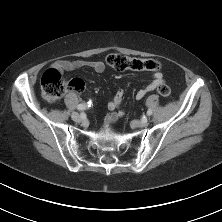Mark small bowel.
Here are the masks:
<instances>
[{
  "label": "small bowel",
  "mask_w": 222,
  "mask_h": 222,
  "mask_svg": "<svg viewBox=\"0 0 222 222\" xmlns=\"http://www.w3.org/2000/svg\"><path fill=\"white\" fill-rule=\"evenodd\" d=\"M53 68L57 69L60 72L64 71H74L81 68H90L97 73H102L105 70V65L102 61L99 60H57L53 64ZM163 75L160 72H156L153 75L152 82L146 87L138 90L135 94L137 100L142 99L148 93L156 90L160 85H163ZM124 97V90L119 89L114 94V96L108 102L109 113L106 116V122L112 123L116 122L123 116V111L118 110Z\"/></svg>",
  "instance_id": "small-bowel-1"
}]
</instances>
